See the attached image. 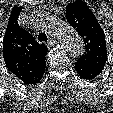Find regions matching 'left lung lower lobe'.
<instances>
[{
	"label": "left lung lower lobe",
	"mask_w": 113,
	"mask_h": 113,
	"mask_svg": "<svg viewBox=\"0 0 113 113\" xmlns=\"http://www.w3.org/2000/svg\"><path fill=\"white\" fill-rule=\"evenodd\" d=\"M75 69L78 75L86 80L93 79L101 73V70L82 65L78 62H75Z\"/></svg>",
	"instance_id": "1"
}]
</instances>
